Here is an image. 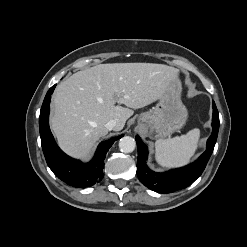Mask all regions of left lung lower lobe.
Wrapping results in <instances>:
<instances>
[{
	"instance_id": "left-lung-lower-lobe-1",
	"label": "left lung lower lobe",
	"mask_w": 247,
	"mask_h": 247,
	"mask_svg": "<svg viewBox=\"0 0 247 247\" xmlns=\"http://www.w3.org/2000/svg\"><path fill=\"white\" fill-rule=\"evenodd\" d=\"M212 134L207 141L206 151L199 159L182 168L164 173L151 171L146 165L148 155L147 146L139 136H136L138 148L137 175L139 180L149 189L158 193H169L185 188L192 184L204 171L206 164L213 152L219 129V114L213 101Z\"/></svg>"
}]
</instances>
